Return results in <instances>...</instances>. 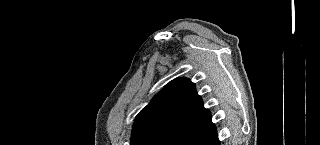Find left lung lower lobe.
I'll return each mask as SVG.
<instances>
[{"mask_svg": "<svg viewBox=\"0 0 320 145\" xmlns=\"http://www.w3.org/2000/svg\"><path fill=\"white\" fill-rule=\"evenodd\" d=\"M178 145H220L211 118L205 124L187 134Z\"/></svg>", "mask_w": 320, "mask_h": 145, "instance_id": "obj_1", "label": "left lung lower lobe"}]
</instances>
